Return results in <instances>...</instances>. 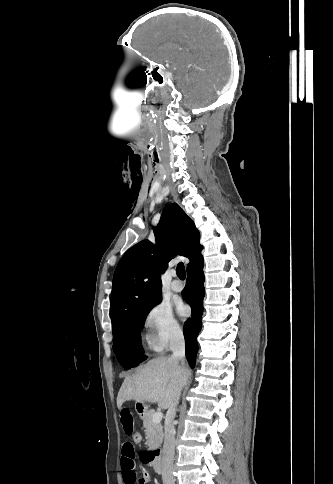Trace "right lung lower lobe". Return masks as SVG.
<instances>
[{"instance_id":"right-lung-lower-lobe-1","label":"right lung lower lobe","mask_w":333,"mask_h":484,"mask_svg":"<svg viewBox=\"0 0 333 484\" xmlns=\"http://www.w3.org/2000/svg\"><path fill=\"white\" fill-rule=\"evenodd\" d=\"M188 279L184 289V299L192 308L191 318L184 324L186 358L193 368L196 362L198 344L196 338L201 330V316L203 312L204 275L203 260L187 270Z\"/></svg>"}]
</instances>
